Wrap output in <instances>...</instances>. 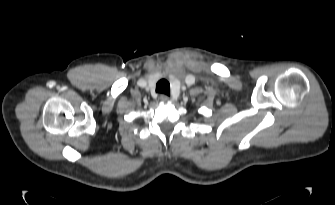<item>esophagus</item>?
Wrapping results in <instances>:
<instances>
[{"mask_svg": "<svg viewBox=\"0 0 335 205\" xmlns=\"http://www.w3.org/2000/svg\"><path fill=\"white\" fill-rule=\"evenodd\" d=\"M161 102H168L169 101V97L165 94H161L159 97Z\"/></svg>", "mask_w": 335, "mask_h": 205, "instance_id": "1", "label": "esophagus"}]
</instances>
